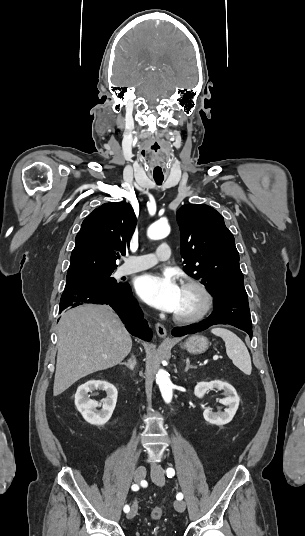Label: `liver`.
<instances>
[{"label":"liver","mask_w":305,"mask_h":536,"mask_svg":"<svg viewBox=\"0 0 305 536\" xmlns=\"http://www.w3.org/2000/svg\"><path fill=\"white\" fill-rule=\"evenodd\" d=\"M58 354L53 396L88 374L121 364L132 340L108 306L85 304L63 314L58 324Z\"/></svg>","instance_id":"liver-1"}]
</instances>
